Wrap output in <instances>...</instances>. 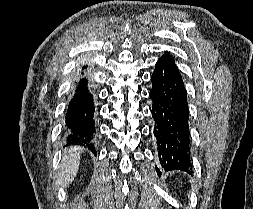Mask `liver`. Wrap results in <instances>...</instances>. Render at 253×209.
Masks as SVG:
<instances>
[{
	"mask_svg": "<svg viewBox=\"0 0 253 209\" xmlns=\"http://www.w3.org/2000/svg\"><path fill=\"white\" fill-rule=\"evenodd\" d=\"M82 152L83 148L76 146L65 150L57 177L59 185L67 187L73 181L78 172Z\"/></svg>",
	"mask_w": 253,
	"mask_h": 209,
	"instance_id": "6515ba94",
	"label": "liver"
}]
</instances>
